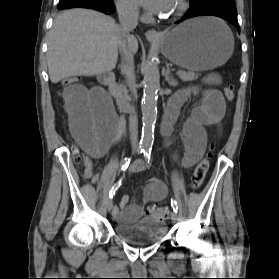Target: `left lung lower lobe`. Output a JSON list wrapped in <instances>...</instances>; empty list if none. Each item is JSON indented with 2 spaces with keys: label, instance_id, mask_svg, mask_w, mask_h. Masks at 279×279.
Here are the masks:
<instances>
[{
  "label": "left lung lower lobe",
  "instance_id": "1",
  "mask_svg": "<svg viewBox=\"0 0 279 279\" xmlns=\"http://www.w3.org/2000/svg\"><path fill=\"white\" fill-rule=\"evenodd\" d=\"M190 5L191 9L178 22L196 16L212 15L230 22L240 32L234 0H190Z\"/></svg>",
  "mask_w": 279,
  "mask_h": 279
}]
</instances>
